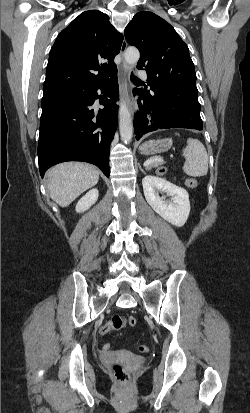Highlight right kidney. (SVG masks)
Segmentation results:
<instances>
[{"label":"right kidney","instance_id":"ca27d5eb","mask_svg":"<svg viewBox=\"0 0 250 413\" xmlns=\"http://www.w3.org/2000/svg\"><path fill=\"white\" fill-rule=\"evenodd\" d=\"M99 192L97 189H91L76 204V212L81 213L88 210L98 200Z\"/></svg>","mask_w":250,"mask_h":413}]
</instances>
